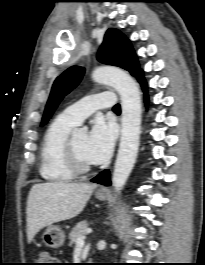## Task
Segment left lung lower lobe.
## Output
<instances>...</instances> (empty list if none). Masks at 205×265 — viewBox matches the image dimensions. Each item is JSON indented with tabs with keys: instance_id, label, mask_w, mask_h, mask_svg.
<instances>
[{
	"instance_id": "left-lung-lower-lobe-1",
	"label": "left lung lower lobe",
	"mask_w": 205,
	"mask_h": 265,
	"mask_svg": "<svg viewBox=\"0 0 205 265\" xmlns=\"http://www.w3.org/2000/svg\"><path fill=\"white\" fill-rule=\"evenodd\" d=\"M137 80L141 84V86L143 88V91L145 93L146 102H148V96H147V90H146L147 89V84H146V81L144 79V76H143V72L142 71L137 76ZM109 175H110L109 174V171L108 170H104L98 176H96L95 178H93L91 181L94 182V183H99V184H102V185L110 186L111 182H110Z\"/></svg>"
}]
</instances>
